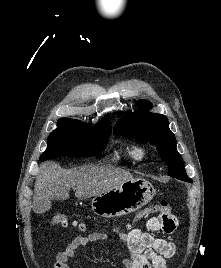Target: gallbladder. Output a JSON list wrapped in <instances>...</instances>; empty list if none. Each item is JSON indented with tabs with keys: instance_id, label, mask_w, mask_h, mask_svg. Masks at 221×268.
Segmentation results:
<instances>
[{
	"instance_id": "bac80fb5",
	"label": "gallbladder",
	"mask_w": 221,
	"mask_h": 268,
	"mask_svg": "<svg viewBox=\"0 0 221 268\" xmlns=\"http://www.w3.org/2000/svg\"><path fill=\"white\" fill-rule=\"evenodd\" d=\"M50 207V202H46L45 199H38V202H34L32 205V210H35V213H48Z\"/></svg>"
}]
</instances>
